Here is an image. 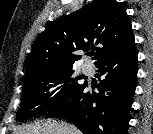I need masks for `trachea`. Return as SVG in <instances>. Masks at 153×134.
Returning <instances> with one entry per match:
<instances>
[{"label": "trachea", "instance_id": "3493384b", "mask_svg": "<svg viewBox=\"0 0 153 134\" xmlns=\"http://www.w3.org/2000/svg\"><path fill=\"white\" fill-rule=\"evenodd\" d=\"M93 55H95V52H91V53H90V56H93Z\"/></svg>", "mask_w": 153, "mask_h": 134}]
</instances>
